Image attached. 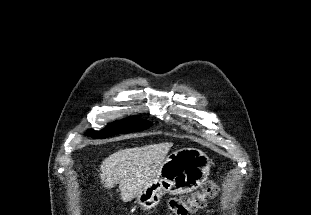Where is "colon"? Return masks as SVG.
Masks as SVG:
<instances>
[{"label":"colon","mask_w":311,"mask_h":215,"mask_svg":"<svg viewBox=\"0 0 311 215\" xmlns=\"http://www.w3.org/2000/svg\"><path fill=\"white\" fill-rule=\"evenodd\" d=\"M217 192V186L211 184L204 191L190 197L172 199L168 204L167 215H191L202 209L208 200L216 196Z\"/></svg>","instance_id":"obj_1"}]
</instances>
